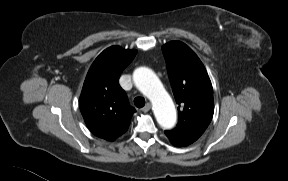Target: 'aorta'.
<instances>
[{"label":"aorta","instance_id":"aorta-1","mask_svg":"<svg viewBox=\"0 0 288 181\" xmlns=\"http://www.w3.org/2000/svg\"><path fill=\"white\" fill-rule=\"evenodd\" d=\"M133 81L139 91L151 100L154 115L160 126L164 129L174 127L176 123L174 103L156 74L149 68L139 67L133 73Z\"/></svg>","mask_w":288,"mask_h":181}]
</instances>
